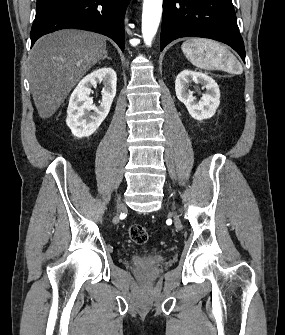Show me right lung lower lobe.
Returning <instances> with one entry per match:
<instances>
[{
	"instance_id": "obj_1",
	"label": "right lung lower lobe",
	"mask_w": 285,
	"mask_h": 335,
	"mask_svg": "<svg viewBox=\"0 0 285 335\" xmlns=\"http://www.w3.org/2000/svg\"><path fill=\"white\" fill-rule=\"evenodd\" d=\"M130 0H37L31 47L41 36L67 28L98 32L124 50L123 20Z\"/></svg>"
}]
</instances>
